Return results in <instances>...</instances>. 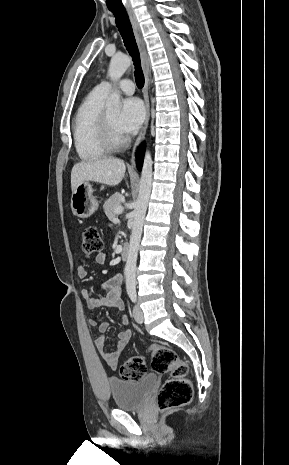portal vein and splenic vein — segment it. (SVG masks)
I'll return each instance as SVG.
<instances>
[{
    "instance_id": "1",
    "label": "portal vein and splenic vein",
    "mask_w": 289,
    "mask_h": 465,
    "mask_svg": "<svg viewBox=\"0 0 289 465\" xmlns=\"http://www.w3.org/2000/svg\"><path fill=\"white\" fill-rule=\"evenodd\" d=\"M123 212V207L122 206H119L118 208H116L115 210V213L116 214H121Z\"/></svg>"
}]
</instances>
